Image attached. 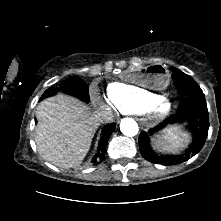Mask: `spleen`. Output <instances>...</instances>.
<instances>
[{
  "label": "spleen",
  "instance_id": "spleen-1",
  "mask_svg": "<svg viewBox=\"0 0 221 221\" xmlns=\"http://www.w3.org/2000/svg\"><path fill=\"white\" fill-rule=\"evenodd\" d=\"M189 136V127L184 123H177L162 133L156 134L152 139V146L158 152L174 151L182 146Z\"/></svg>",
  "mask_w": 221,
  "mask_h": 221
}]
</instances>
